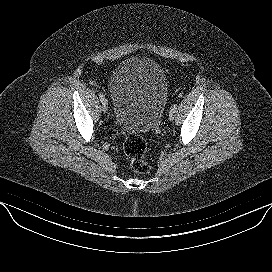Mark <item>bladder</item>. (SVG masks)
Listing matches in <instances>:
<instances>
[{
	"instance_id": "bladder-1",
	"label": "bladder",
	"mask_w": 272,
	"mask_h": 272,
	"mask_svg": "<svg viewBox=\"0 0 272 272\" xmlns=\"http://www.w3.org/2000/svg\"><path fill=\"white\" fill-rule=\"evenodd\" d=\"M109 91L113 116L129 134L151 130L161 119L168 98L163 68L146 57H132L113 71Z\"/></svg>"
}]
</instances>
